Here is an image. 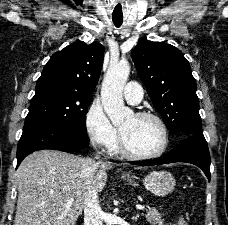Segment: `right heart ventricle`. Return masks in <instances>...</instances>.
Masks as SVG:
<instances>
[{"label":"right heart ventricle","mask_w":228,"mask_h":225,"mask_svg":"<svg viewBox=\"0 0 228 225\" xmlns=\"http://www.w3.org/2000/svg\"><path fill=\"white\" fill-rule=\"evenodd\" d=\"M112 153H117L119 151V144L116 142L113 146L110 147Z\"/></svg>","instance_id":"right-heart-ventricle-1"}]
</instances>
